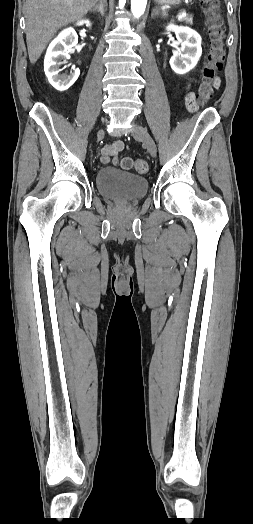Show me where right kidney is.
Masks as SVG:
<instances>
[{"label": "right kidney", "instance_id": "1", "mask_svg": "<svg viewBox=\"0 0 253 524\" xmlns=\"http://www.w3.org/2000/svg\"><path fill=\"white\" fill-rule=\"evenodd\" d=\"M90 26L89 20H82L77 25ZM78 43V36L73 28L63 30L49 45L45 60L44 71L50 84L58 91H65L74 84L80 70L72 67L69 75L59 74L60 66L70 58V50Z\"/></svg>", "mask_w": 253, "mask_h": 524}]
</instances>
